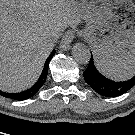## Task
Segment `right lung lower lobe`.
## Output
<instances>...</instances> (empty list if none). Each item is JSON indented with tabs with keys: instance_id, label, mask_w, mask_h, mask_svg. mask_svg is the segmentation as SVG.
<instances>
[{
	"instance_id": "1",
	"label": "right lung lower lobe",
	"mask_w": 135,
	"mask_h": 135,
	"mask_svg": "<svg viewBox=\"0 0 135 135\" xmlns=\"http://www.w3.org/2000/svg\"><path fill=\"white\" fill-rule=\"evenodd\" d=\"M54 54H55V50H53L52 53L49 55L48 59L45 62L44 69H43L39 79L31 88H29L25 91H22L20 93H6V92L0 91V95L13 99V100H26V99L34 96L46 81L49 62L52 59Z\"/></svg>"
}]
</instances>
